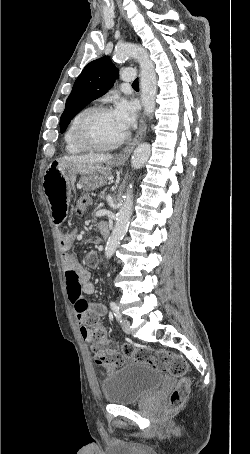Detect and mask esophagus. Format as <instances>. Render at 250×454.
<instances>
[{
  "label": "esophagus",
  "instance_id": "obj_1",
  "mask_svg": "<svg viewBox=\"0 0 250 454\" xmlns=\"http://www.w3.org/2000/svg\"><path fill=\"white\" fill-rule=\"evenodd\" d=\"M146 131V124L144 120V116L141 118L140 125L138 131L135 135L133 141L128 144L117 156L116 158L119 160H127L131 155L132 151L134 150L135 146L143 139Z\"/></svg>",
  "mask_w": 250,
  "mask_h": 454
}]
</instances>
